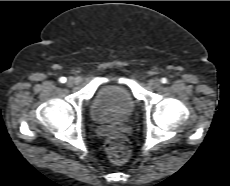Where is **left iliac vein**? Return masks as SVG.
Segmentation results:
<instances>
[{
  "label": "left iliac vein",
  "mask_w": 230,
  "mask_h": 186,
  "mask_svg": "<svg viewBox=\"0 0 230 186\" xmlns=\"http://www.w3.org/2000/svg\"><path fill=\"white\" fill-rule=\"evenodd\" d=\"M160 85H161V81H160L159 79H153V80L151 81V86H152L153 88H158Z\"/></svg>",
  "instance_id": "4c4485c4"
}]
</instances>
